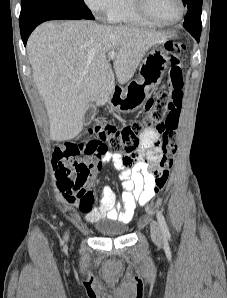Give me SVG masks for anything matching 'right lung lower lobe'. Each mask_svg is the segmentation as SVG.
Listing matches in <instances>:
<instances>
[{
  "mask_svg": "<svg viewBox=\"0 0 227 298\" xmlns=\"http://www.w3.org/2000/svg\"><path fill=\"white\" fill-rule=\"evenodd\" d=\"M54 19H84L77 16H67V15H58V14H50V15H43L40 16L33 21H31L26 26L20 28L21 29V37L23 40L24 45H26L27 39L31 32L42 22Z\"/></svg>",
  "mask_w": 227,
  "mask_h": 298,
  "instance_id": "right-lung-lower-lobe-1",
  "label": "right lung lower lobe"
}]
</instances>
